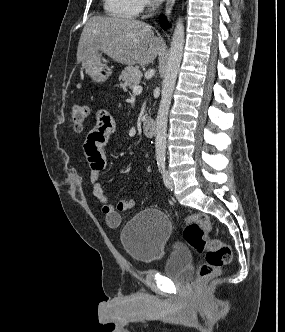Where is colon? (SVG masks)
Returning a JSON list of instances; mask_svg holds the SVG:
<instances>
[{
	"instance_id": "colon-1",
	"label": "colon",
	"mask_w": 285,
	"mask_h": 332,
	"mask_svg": "<svg viewBox=\"0 0 285 332\" xmlns=\"http://www.w3.org/2000/svg\"><path fill=\"white\" fill-rule=\"evenodd\" d=\"M88 108L75 105L71 112V122L77 131H81L88 118ZM211 230L210 218L203 213L187 217L183 224V236L189 246L198 253H205V262L198 271V279L205 280L230 263L231 248L219 239L209 237Z\"/></svg>"
}]
</instances>
